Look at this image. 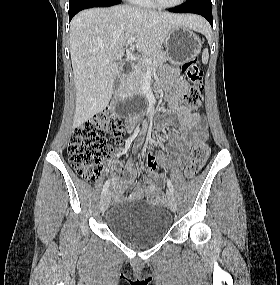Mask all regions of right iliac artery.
Here are the masks:
<instances>
[{
	"label": "right iliac artery",
	"instance_id": "obj_1",
	"mask_svg": "<svg viewBox=\"0 0 280 285\" xmlns=\"http://www.w3.org/2000/svg\"><path fill=\"white\" fill-rule=\"evenodd\" d=\"M109 185H110V180L106 181V183L104 184L102 189V195L108 190Z\"/></svg>",
	"mask_w": 280,
	"mask_h": 285
}]
</instances>
